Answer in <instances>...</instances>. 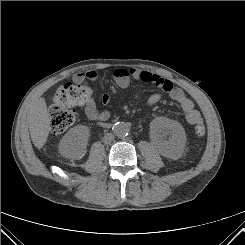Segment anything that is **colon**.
<instances>
[{"mask_svg": "<svg viewBox=\"0 0 245 245\" xmlns=\"http://www.w3.org/2000/svg\"><path fill=\"white\" fill-rule=\"evenodd\" d=\"M93 87L87 83H66L58 88L50 106V123L53 133H62L76 120L75 106L85 104L93 95ZM194 133L203 136L205 125L198 122L194 126Z\"/></svg>", "mask_w": 245, "mask_h": 245, "instance_id": "colon-1", "label": "colon"}]
</instances>
